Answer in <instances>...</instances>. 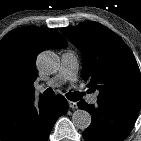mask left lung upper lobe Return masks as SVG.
I'll return each instance as SVG.
<instances>
[{"mask_svg":"<svg viewBox=\"0 0 141 141\" xmlns=\"http://www.w3.org/2000/svg\"><path fill=\"white\" fill-rule=\"evenodd\" d=\"M82 53V78L100 92L97 101L118 107L141 105V75L135 57L124 41L93 21L61 28Z\"/></svg>","mask_w":141,"mask_h":141,"instance_id":"left-lung-upper-lobe-1","label":"left lung upper lobe"}]
</instances>
